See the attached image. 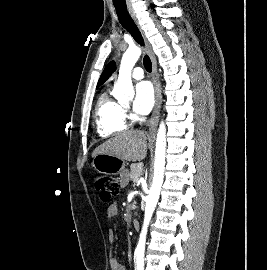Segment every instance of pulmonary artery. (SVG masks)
<instances>
[{
  "instance_id": "obj_1",
  "label": "pulmonary artery",
  "mask_w": 267,
  "mask_h": 270,
  "mask_svg": "<svg viewBox=\"0 0 267 270\" xmlns=\"http://www.w3.org/2000/svg\"><path fill=\"white\" fill-rule=\"evenodd\" d=\"M132 77L137 80L142 79L144 77L143 69L141 67L134 68L132 71Z\"/></svg>"
}]
</instances>
